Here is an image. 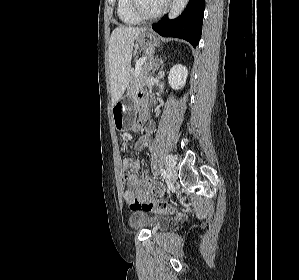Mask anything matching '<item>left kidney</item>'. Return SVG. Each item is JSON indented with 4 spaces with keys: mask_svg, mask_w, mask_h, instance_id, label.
<instances>
[{
    "mask_svg": "<svg viewBox=\"0 0 299 280\" xmlns=\"http://www.w3.org/2000/svg\"><path fill=\"white\" fill-rule=\"evenodd\" d=\"M188 71L187 68L181 64L175 65L170 69L168 81L172 88L180 89L186 83Z\"/></svg>",
    "mask_w": 299,
    "mask_h": 280,
    "instance_id": "obj_1",
    "label": "left kidney"
}]
</instances>
